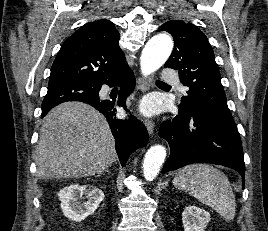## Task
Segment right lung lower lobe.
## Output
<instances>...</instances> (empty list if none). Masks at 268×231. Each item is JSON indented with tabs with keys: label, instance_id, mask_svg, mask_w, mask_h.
<instances>
[{
	"label": "right lung lower lobe",
	"instance_id": "1",
	"mask_svg": "<svg viewBox=\"0 0 268 231\" xmlns=\"http://www.w3.org/2000/svg\"><path fill=\"white\" fill-rule=\"evenodd\" d=\"M103 84H107L110 87L121 85L117 105L122 106L125 108V110H127L125 106L126 98L135 87V77L128 64H126L118 73L109 78L106 82L96 86V95L94 97L73 101L88 103L106 117L112 134L116 140L115 147L119 160L122 166H125L130 154L134 150L147 144L148 133L145 126L134 117H131L129 120H120L116 118L115 101H101L99 98V91ZM49 110L50 109L42 110V116L44 117Z\"/></svg>",
	"mask_w": 268,
	"mask_h": 231
}]
</instances>
